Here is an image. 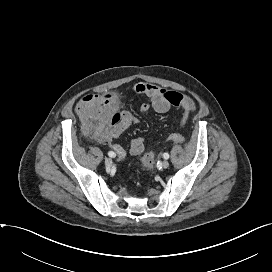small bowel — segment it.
<instances>
[{
    "mask_svg": "<svg viewBox=\"0 0 272 272\" xmlns=\"http://www.w3.org/2000/svg\"><path fill=\"white\" fill-rule=\"evenodd\" d=\"M134 91L136 94L149 99V102H144L141 105L142 113H146L152 109L157 113L163 114L169 112L173 107L178 108L181 113L173 117V122L180 129L187 124L190 114L196 108L194 101L189 96L153 84L138 82L134 85ZM136 122V117L131 113L124 112L120 123L113 125L108 131L97 136V138L101 142L109 143L118 157L123 159L126 156L125 149L119 144L112 143V139L119 137L127 128ZM144 148L145 143L142 138H134L131 140V154L139 155L144 151Z\"/></svg>",
    "mask_w": 272,
    "mask_h": 272,
    "instance_id": "obj_1",
    "label": "small bowel"
}]
</instances>
